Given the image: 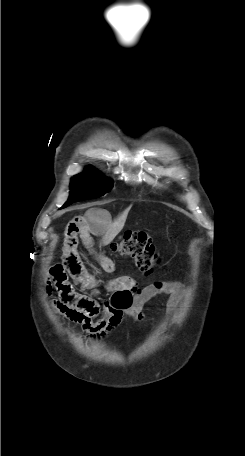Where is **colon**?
<instances>
[{
    "label": "colon",
    "instance_id": "1",
    "mask_svg": "<svg viewBox=\"0 0 245 456\" xmlns=\"http://www.w3.org/2000/svg\"><path fill=\"white\" fill-rule=\"evenodd\" d=\"M111 250L122 257L131 258L136 267L146 275L152 273L157 261L153 244L146 233L141 231L126 233L121 240L111 244Z\"/></svg>",
    "mask_w": 245,
    "mask_h": 456
}]
</instances>
